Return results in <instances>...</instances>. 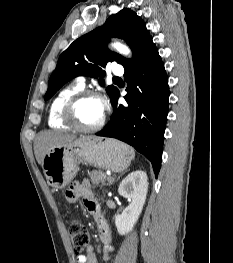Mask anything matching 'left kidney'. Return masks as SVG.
I'll return each mask as SVG.
<instances>
[{
	"label": "left kidney",
	"instance_id": "obj_1",
	"mask_svg": "<svg viewBox=\"0 0 233 263\" xmlns=\"http://www.w3.org/2000/svg\"><path fill=\"white\" fill-rule=\"evenodd\" d=\"M118 192L131 203L119 215L115 216V225L120 235L129 233L137 222L148 192V178L144 171L130 173L122 180Z\"/></svg>",
	"mask_w": 233,
	"mask_h": 263
}]
</instances>
